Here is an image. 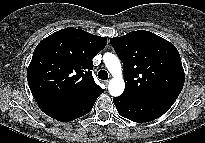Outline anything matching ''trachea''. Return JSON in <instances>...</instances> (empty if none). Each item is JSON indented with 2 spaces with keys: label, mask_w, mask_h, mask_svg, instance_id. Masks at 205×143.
Listing matches in <instances>:
<instances>
[{
  "label": "trachea",
  "mask_w": 205,
  "mask_h": 143,
  "mask_svg": "<svg viewBox=\"0 0 205 143\" xmlns=\"http://www.w3.org/2000/svg\"><path fill=\"white\" fill-rule=\"evenodd\" d=\"M98 78L102 80H107L108 79V73L105 70H100L98 72Z\"/></svg>",
  "instance_id": "trachea-1"
}]
</instances>
